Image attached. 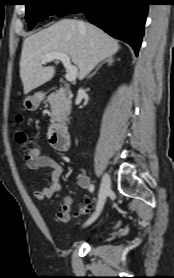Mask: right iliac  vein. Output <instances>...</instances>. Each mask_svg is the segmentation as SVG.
I'll return each mask as SVG.
<instances>
[{
    "mask_svg": "<svg viewBox=\"0 0 174 278\" xmlns=\"http://www.w3.org/2000/svg\"><path fill=\"white\" fill-rule=\"evenodd\" d=\"M110 188H111L110 176L108 174H104V176L102 178L100 190H99V196H98V203H97L96 211L92 215V217L87 221L86 225H89V224L93 223L98 218V216L100 215V213L103 209L105 200H106L108 194L110 193V190H111Z\"/></svg>",
    "mask_w": 174,
    "mask_h": 278,
    "instance_id": "obj_1",
    "label": "right iliac vein"
}]
</instances>
